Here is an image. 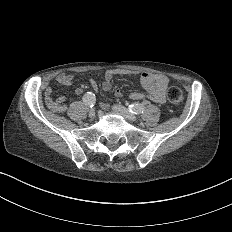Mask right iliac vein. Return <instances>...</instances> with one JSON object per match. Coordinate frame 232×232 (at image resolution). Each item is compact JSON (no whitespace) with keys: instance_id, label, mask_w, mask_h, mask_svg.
Returning <instances> with one entry per match:
<instances>
[{"instance_id":"right-iliac-vein-1","label":"right iliac vein","mask_w":232,"mask_h":232,"mask_svg":"<svg viewBox=\"0 0 232 232\" xmlns=\"http://www.w3.org/2000/svg\"><path fill=\"white\" fill-rule=\"evenodd\" d=\"M88 116H89L90 118L95 117V116H96V111H95L94 109H91V110L89 111V113H88Z\"/></svg>"}]
</instances>
